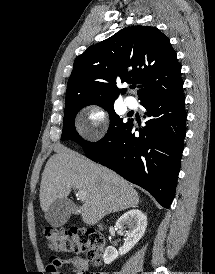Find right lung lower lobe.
Returning <instances> with one entry per match:
<instances>
[{
    "instance_id": "1",
    "label": "right lung lower lobe",
    "mask_w": 215,
    "mask_h": 274,
    "mask_svg": "<svg viewBox=\"0 0 215 274\" xmlns=\"http://www.w3.org/2000/svg\"><path fill=\"white\" fill-rule=\"evenodd\" d=\"M146 126L134 134L133 121L102 143L84 149L86 155L151 193L169 208L175 194L186 134L183 89L141 103ZM137 130V129H136Z\"/></svg>"
}]
</instances>
